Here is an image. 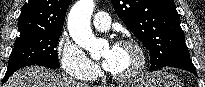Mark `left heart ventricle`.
<instances>
[{"instance_id": "obj_1", "label": "left heart ventricle", "mask_w": 205, "mask_h": 87, "mask_svg": "<svg viewBox=\"0 0 205 87\" xmlns=\"http://www.w3.org/2000/svg\"><path fill=\"white\" fill-rule=\"evenodd\" d=\"M101 57L109 61V71L117 74H126L132 71L138 64V54L130 47L114 46L105 47Z\"/></svg>"}]
</instances>
